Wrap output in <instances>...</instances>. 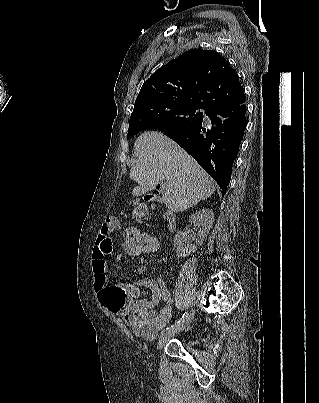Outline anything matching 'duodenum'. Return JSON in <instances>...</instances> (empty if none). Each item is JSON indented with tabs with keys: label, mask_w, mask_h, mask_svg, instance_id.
<instances>
[{
	"label": "duodenum",
	"mask_w": 319,
	"mask_h": 403,
	"mask_svg": "<svg viewBox=\"0 0 319 403\" xmlns=\"http://www.w3.org/2000/svg\"><path fill=\"white\" fill-rule=\"evenodd\" d=\"M145 200H157V196H146L144 197ZM146 211L145 206H141L139 209V212L141 214H143ZM165 219L167 222V227L168 229L171 231L175 228V223H176V216L174 214V212H172L171 210H167L165 212Z\"/></svg>",
	"instance_id": "1"
}]
</instances>
